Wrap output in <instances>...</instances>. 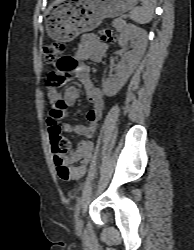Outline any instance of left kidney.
Listing matches in <instances>:
<instances>
[{
    "mask_svg": "<svg viewBox=\"0 0 194 250\" xmlns=\"http://www.w3.org/2000/svg\"><path fill=\"white\" fill-rule=\"evenodd\" d=\"M129 40H135L133 50L124 54L123 63L117 68L115 77L109 79L104 85L106 91L113 89V91L116 92L121 89L137 68L145 53L147 33L144 29L133 24L126 25L120 33L118 43L120 47H124Z\"/></svg>",
    "mask_w": 194,
    "mask_h": 250,
    "instance_id": "1",
    "label": "left kidney"
}]
</instances>
